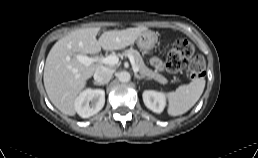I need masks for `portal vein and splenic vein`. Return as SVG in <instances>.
<instances>
[{
    "label": "portal vein and splenic vein",
    "mask_w": 258,
    "mask_h": 158,
    "mask_svg": "<svg viewBox=\"0 0 258 158\" xmlns=\"http://www.w3.org/2000/svg\"><path fill=\"white\" fill-rule=\"evenodd\" d=\"M128 58L132 64L133 71L137 73L139 71L135 59L132 55H128ZM77 59L79 62L82 64L89 66L93 63H101V64H106V65H115L118 63L119 58L116 55H109V56H96V57H88L86 55H78Z\"/></svg>",
    "instance_id": "1"
}]
</instances>
